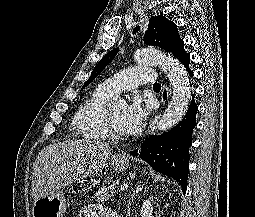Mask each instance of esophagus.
Instances as JSON below:
<instances>
[{"label":"esophagus","mask_w":255,"mask_h":217,"mask_svg":"<svg viewBox=\"0 0 255 217\" xmlns=\"http://www.w3.org/2000/svg\"><path fill=\"white\" fill-rule=\"evenodd\" d=\"M158 119H159V115H156L155 118L153 119L152 123L150 124L149 129L146 132V135H149L151 133V131L154 129L155 124L157 123Z\"/></svg>","instance_id":"obj_1"}]
</instances>
